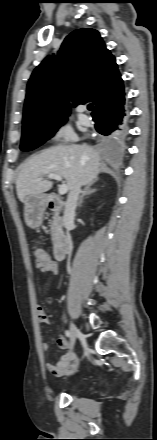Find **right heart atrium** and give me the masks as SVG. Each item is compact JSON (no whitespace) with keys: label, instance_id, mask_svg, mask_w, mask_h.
Listing matches in <instances>:
<instances>
[{"label":"right heart atrium","instance_id":"obj_1","mask_svg":"<svg viewBox=\"0 0 157 440\" xmlns=\"http://www.w3.org/2000/svg\"><path fill=\"white\" fill-rule=\"evenodd\" d=\"M51 141L70 142L76 140V135L67 123H59L50 132Z\"/></svg>","mask_w":157,"mask_h":440}]
</instances>
